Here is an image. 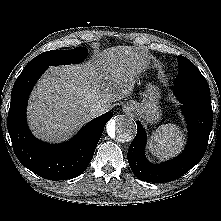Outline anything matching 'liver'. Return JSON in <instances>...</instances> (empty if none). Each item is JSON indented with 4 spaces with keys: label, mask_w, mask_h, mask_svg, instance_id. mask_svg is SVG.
I'll list each match as a JSON object with an SVG mask.
<instances>
[{
    "label": "liver",
    "mask_w": 221,
    "mask_h": 221,
    "mask_svg": "<svg viewBox=\"0 0 221 221\" xmlns=\"http://www.w3.org/2000/svg\"><path fill=\"white\" fill-rule=\"evenodd\" d=\"M147 65V55L138 48L115 46L85 64L50 67L30 96L31 130L45 141L66 140L94 118L92 105L102 104L108 110L131 94Z\"/></svg>",
    "instance_id": "6515ba94"
}]
</instances>
